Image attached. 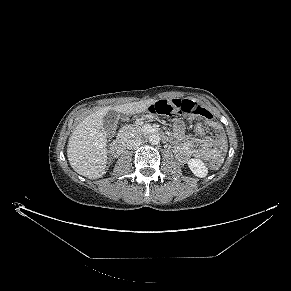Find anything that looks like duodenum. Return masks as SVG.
<instances>
[{
    "label": "duodenum",
    "instance_id": "410a0bca",
    "mask_svg": "<svg viewBox=\"0 0 291 291\" xmlns=\"http://www.w3.org/2000/svg\"><path fill=\"white\" fill-rule=\"evenodd\" d=\"M126 143V139L124 137H118L115 139L112 143V153L116 156L120 155L122 151L124 150Z\"/></svg>",
    "mask_w": 291,
    "mask_h": 291
}]
</instances>
